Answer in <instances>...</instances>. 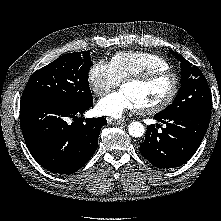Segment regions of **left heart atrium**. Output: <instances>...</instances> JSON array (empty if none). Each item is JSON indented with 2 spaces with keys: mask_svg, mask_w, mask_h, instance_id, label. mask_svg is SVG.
Here are the masks:
<instances>
[{
  "mask_svg": "<svg viewBox=\"0 0 221 221\" xmlns=\"http://www.w3.org/2000/svg\"><path fill=\"white\" fill-rule=\"evenodd\" d=\"M97 112L112 118H121L124 114L136 111L139 106L123 89L103 97L96 106Z\"/></svg>",
  "mask_w": 221,
  "mask_h": 221,
  "instance_id": "left-heart-atrium-1",
  "label": "left heart atrium"
}]
</instances>
